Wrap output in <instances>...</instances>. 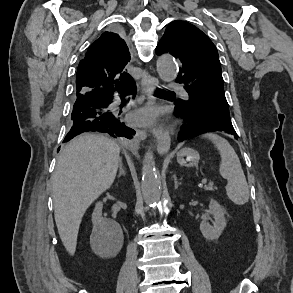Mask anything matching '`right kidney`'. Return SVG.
<instances>
[{
    "instance_id": "right-kidney-1",
    "label": "right kidney",
    "mask_w": 293,
    "mask_h": 293,
    "mask_svg": "<svg viewBox=\"0 0 293 293\" xmlns=\"http://www.w3.org/2000/svg\"><path fill=\"white\" fill-rule=\"evenodd\" d=\"M102 202H97L92 214L94 234L102 236V245L118 252L123 244V234L116 222L107 221L102 217Z\"/></svg>"
}]
</instances>
